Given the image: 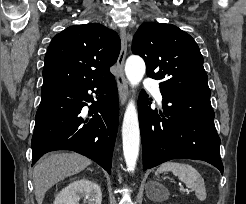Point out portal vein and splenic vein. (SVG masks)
Instances as JSON below:
<instances>
[{"label":"portal vein and splenic vein","mask_w":246,"mask_h":204,"mask_svg":"<svg viewBox=\"0 0 246 204\" xmlns=\"http://www.w3.org/2000/svg\"><path fill=\"white\" fill-rule=\"evenodd\" d=\"M180 191H186V192H188L189 190L188 189H185L182 185H180Z\"/></svg>","instance_id":"18ae733b"}]
</instances>
